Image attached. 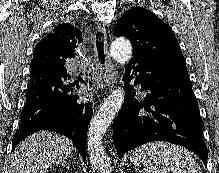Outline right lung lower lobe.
<instances>
[{"mask_svg":"<svg viewBox=\"0 0 219 173\" xmlns=\"http://www.w3.org/2000/svg\"><path fill=\"white\" fill-rule=\"evenodd\" d=\"M69 79L64 64L42 63L31 68L26 104L21 112L20 128L13 136V148L37 131L50 130L71 139L86 159L85 141L92 103L76 94L75 83H68Z\"/></svg>","mask_w":219,"mask_h":173,"instance_id":"98d812e1","label":"right lung lower lobe"}]
</instances>
